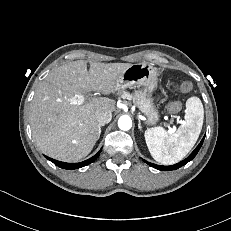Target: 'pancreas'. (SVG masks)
Masks as SVG:
<instances>
[{"mask_svg": "<svg viewBox=\"0 0 231 231\" xmlns=\"http://www.w3.org/2000/svg\"><path fill=\"white\" fill-rule=\"evenodd\" d=\"M120 98H123V99H131V95H130L128 92H126V91H122V92L120 93Z\"/></svg>", "mask_w": 231, "mask_h": 231, "instance_id": "cf45deb5", "label": "pancreas"}]
</instances>
